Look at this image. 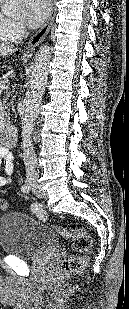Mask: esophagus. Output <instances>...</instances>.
I'll return each instance as SVG.
<instances>
[{
    "mask_svg": "<svg viewBox=\"0 0 129 309\" xmlns=\"http://www.w3.org/2000/svg\"><path fill=\"white\" fill-rule=\"evenodd\" d=\"M55 11H56V7H55V0H54L53 3H52L51 13L49 15L47 22L44 24L43 27H41V29L27 43V45L24 49L25 55L31 56L34 53L37 46L46 37V35L48 34V32L50 31V28L52 26L54 16H55Z\"/></svg>",
    "mask_w": 129,
    "mask_h": 309,
    "instance_id": "34e87169",
    "label": "esophagus"
}]
</instances>
